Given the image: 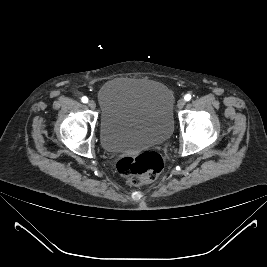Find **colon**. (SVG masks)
Wrapping results in <instances>:
<instances>
[{
  "instance_id": "5ec220e1",
  "label": "colon",
  "mask_w": 267,
  "mask_h": 267,
  "mask_svg": "<svg viewBox=\"0 0 267 267\" xmlns=\"http://www.w3.org/2000/svg\"><path fill=\"white\" fill-rule=\"evenodd\" d=\"M165 165V158L152 151L137 156H124L118 160L116 170L132 185H141L154 181Z\"/></svg>"
}]
</instances>
